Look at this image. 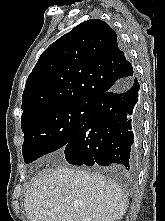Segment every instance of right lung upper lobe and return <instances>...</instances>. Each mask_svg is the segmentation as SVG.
<instances>
[{
	"mask_svg": "<svg viewBox=\"0 0 165 221\" xmlns=\"http://www.w3.org/2000/svg\"><path fill=\"white\" fill-rule=\"evenodd\" d=\"M134 78L116 32L99 19L85 21L52 43L39 57L22 95L21 122L42 111L90 104Z\"/></svg>",
	"mask_w": 165,
	"mask_h": 221,
	"instance_id": "1",
	"label": "right lung upper lobe"
}]
</instances>
